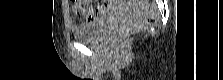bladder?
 Wrapping results in <instances>:
<instances>
[{"label":"bladder","mask_w":223,"mask_h":80,"mask_svg":"<svg viewBox=\"0 0 223 80\" xmlns=\"http://www.w3.org/2000/svg\"><path fill=\"white\" fill-rule=\"evenodd\" d=\"M114 8H110L98 19L75 24L72 26V36L78 41H96L103 30L104 22L113 14Z\"/></svg>","instance_id":"obj_1"}]
</instances>
